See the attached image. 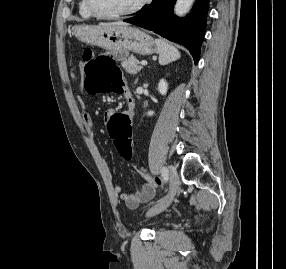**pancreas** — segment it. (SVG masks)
<instances>
[{"mask_svg": "<svg viewBox=\"0 0 286 269\" xmlns=\"http://www.w3.org/2000/svg\"><path fill=\"white\" fill-rule=\"evenodd\" d=\"M139 60L136 58L130 57L129 59H125L121 66L125 69V71L129 74H137L141 69L142 66L139 65Z\"/></svg>", "mask_w": 286, "mask_h": 269, "instance_id": "cf45deb5", "label": "pancreas"}]
</instances>
